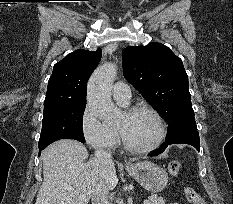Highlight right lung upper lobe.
I'll return each instance as SVG.
<instances>
[{"instance_id":"1","label":"right lung upper lobe","mask_w":233,"mask_h":204,"mask_svg":"<svg viewBox=\"0 0 233 204\" xmlns=\"http://www.w3.org/2000/svg\"><path fill=\"white\" fill-rule=\"evenodd\" d=\"M101 55V49L94 52L78 49L56 63L44 103L86 101V84Z\"/></svg>"}]
</instances>
